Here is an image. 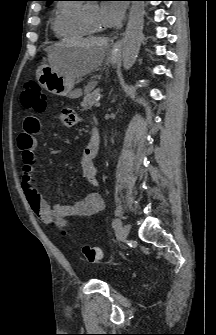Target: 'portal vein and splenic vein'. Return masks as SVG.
Segmentation results:
<instances>
[{
    "label": "portal vein and splenic vein",
    "instance_id": "obj_1",
    "mask_svg": "<svg viewBox=\"0 0 216 335\" xmlns=\"http://www.w3.org/2000/svg\"><path fill=\"white\" fill-rule=\"evenodd\" d=\"M100 105H101L100 97H98L97 100H96L95 106L99 107Z\"/></svg>",
    "mask_w": 216,
    "mask_h": 335
}]
</instances>
